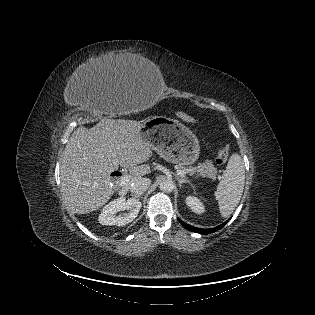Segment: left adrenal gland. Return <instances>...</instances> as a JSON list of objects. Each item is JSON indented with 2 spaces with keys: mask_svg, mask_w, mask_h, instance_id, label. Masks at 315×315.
Returning a JSON list of instances; mask_svg holds the SVG:
<instances>
[{
  "mask_svg": "<svg viewBox=\"0 0 315 315\" xmlns=\"http://www.w3.org/2000/svg\"><path fill=\"white\" fill-rule=\"evenodd\" d=\"M177 181L179 182L180 187L182 186V183H188V184H190L191 187H193V185L191 184V182L189 180L177 177Z\"/></svg>",
  "mask_w": 315,
  "mask_h": 315,
  "instance_id": "1",
  "label": "left adrenal gland"
}]
</instances>
